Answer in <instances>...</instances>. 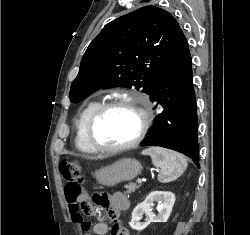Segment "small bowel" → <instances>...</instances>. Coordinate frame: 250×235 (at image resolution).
Wrapping results in <instances>:
<instances>
[{"label": "small bowel", "mask_w": 250, "mask_h": 235, "mask_svg": "<svg viewBox=\"0 0 250 235\" xmlns=\"http://www.w3.org/2000/svg\"><path fill=\"white\" fill-rule=\"evenodd\" d=\"M67 202L72 220L80 224L83 235H92V233L95 235H107L108 232H110L109 235H130L128 229L117 221L119 213L128 207V201L124 194L115 193L98 204V206H100L102 210L114 220L111 229H109L106 222L100 221L94 224L91 231V225L89 222L85 221V217L94 215V209H92L88 202H84V205L88 207L86 210H82L78 203H73L68 199Z\"/></svg>", "instance_id": "small-bowel-1"}]
</instances>
